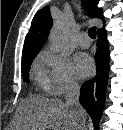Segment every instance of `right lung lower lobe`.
I'll return each mask as SVG.
<instances>
[{
  "label": "right lung lower lobe",
  "mask_w": 123,
  "mask_h": 130,
  "mask_svg": "<svg viewBox=\"0 0 123 130\" xmlns=\"http://www.w3.org/2000/svg\"><path fill=\"white\" fill-rule=\"evenodd\" d=\"M97 52L95 55L97 74L81 87L80 103L92 118L93 125L98 128L105 101V93L109 72V44L104 28L97 31Z\"/></svg>",
  "instance_id": "right-lung-lower-lobe-1"
}]
</instances>
